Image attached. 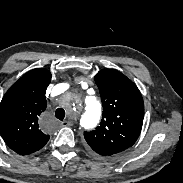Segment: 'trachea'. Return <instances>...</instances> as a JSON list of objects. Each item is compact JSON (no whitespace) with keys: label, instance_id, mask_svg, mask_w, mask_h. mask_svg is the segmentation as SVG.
<instances>
[{"label":"trachea","instance_id":"1","mask_svg":"<svg viewBox=\"0 0 183 183\" xmlns=\"http://www.w3.org/2000/svg\"><path fill=\"white\" fill-rule=\"evenodd\" d=\"M55 115H56V117H57L59 120L63 121V119L65 118V110L62 109V108H58V109L56 110V112H55Z\"/></svg>","mask_w":183,"mask_h":183}]
</instances>
